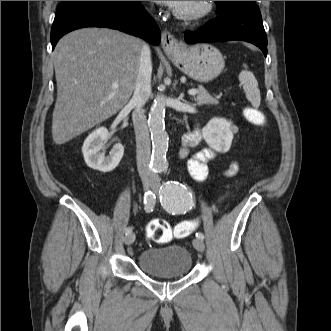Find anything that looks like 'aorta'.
Listing matches in <instances>:
<instances>
[{"label":"aorta","instance_id":"762f6f07","mask_svg":"<svg viewBox=\"0 0 331 331\" xmlns=\"http://www.w3.org/2000/svg\"><path fill=\"white\" fill-rule=\"evenodd\" d=\"M165 100L163 95H157L151 106L148 126L152 140V168L162 171L166 168V153L168 151L169 137L165 130Z\"/></svg>","mask_w":331,"mask_h":331}]
</instances>
